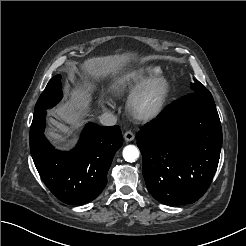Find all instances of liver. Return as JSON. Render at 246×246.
Wrapping results in <instances>:
<instances>
[{
	"mask_svg": "<svg viewBox=\"0 0 246 246\" xmlns=\"http://www.w3.org/2000/svg\"><path fill=\"white\" fill-rule=\"evenodd\" d=\"M134 55L132 53H124L89 58L80 64V69L85 73L96 76L116 72ZM84 86L86 88L76 86L75 90L70 93L69 100L60 104L54 110L56 116L64 123L52 117L49 118L50 123L55 127L47 131V135L50 138L59 142H66L69 137L73 136L74 130L80 127L82 118L88 115L89 91L91 87L86 84ZM70 142H73V140H70Z\"/></svg>",
	"mask_w": 246,
	"mask_h": 246,
	"instance_id": "1",
	"label": "liver"
}]
</instances>
